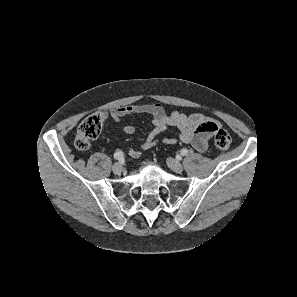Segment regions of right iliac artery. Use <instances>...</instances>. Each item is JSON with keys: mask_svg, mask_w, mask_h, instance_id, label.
Segmentation results:
<instances>
[{"mask_svg": "<svg viewBox=\"0 0 297 297\" xmlns=\"http://www.w3.org/2000/svg\"><path fill=\"white\" fill-rule=\"evenodd\" d=\"M114 158L117 160H121L123 158V152L122 151H117L114 153Z\"/></svg>", "mask_w": 297, "mask_h": 297, "instance_id": "1", "label": "right iliac artery"}]
</instances>
